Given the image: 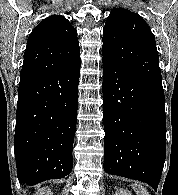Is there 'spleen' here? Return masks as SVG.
I'll list each match as a JSON object with an SVG mask.
<instances>
[{"label":"spleen","instance_id":"3e777b00","mask_svg":"<svg viewBox=\"0 0 178 195\" xmlns=\"http://www.w3.org/2000/svg\"><path fill=\"white\" fill-rule=\"evenodd\" d=\"M132 188L137 193V195H149L146 188L140 184H133Z\"/></svg>","mask_w":178,"mask_h":195}]
</instances>
